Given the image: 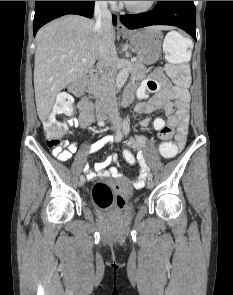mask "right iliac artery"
Returning <instances> with one entry per match:
<instances>
[{
    "instance_id": "82829eb1",
    "label": "right iliac artery",
    "mask_w": 233,
    "mask_h": 295,
    "mask_svg": "<svg viewBox=\"0 0 233 295\" xmlns=\"http://www.w3.org/2000/svg\"><path fill=\"white\" fill-rule=\"evenodd\" d=\"M102 139H103V138H102ZM121 139H122V132H121L120 129H118L117 132L115 133L114 141L119 142V141H121ZM80 179H84V176L81 175V176H80Z\"/></svg>"
}]
</instances>
